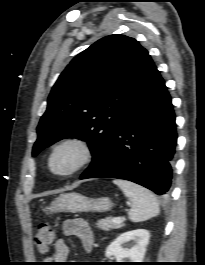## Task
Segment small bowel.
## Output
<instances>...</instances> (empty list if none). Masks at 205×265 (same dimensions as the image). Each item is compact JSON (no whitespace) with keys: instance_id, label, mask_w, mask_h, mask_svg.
<instances>
[{"instance_id":"1","label":"small bowel","mask_w":205,"mask_h":265,"mask_svg":"<svg viewBox=\"0 0 205 265\" xmlns=\"http://www.w3.org/2000/svg\"><path fill=\"white\" fill-rule=\"evenodd\" d=\"M65 236H76L80 238L86 252H91L94 246V235L87 221L81 218L68 219L63 223ZM69 246L65 239L60 238L55 243L54 253L47 257L49 263H63L69 254Z\"/></svg>"}]
</instances>
